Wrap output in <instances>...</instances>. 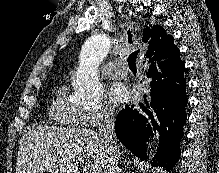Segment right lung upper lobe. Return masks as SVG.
<instances>
[{
	"label": "right lung upper lobe",
	"mask_w": 219,
	"mask_h": 173,
	"mask_svg": "<svg viewBox=\"0 0 219 173\" xmlns=\"http://www.w3.org/2000/svg\"><path fill=\"white\" fill-rule=\"evenodd\" d=\"M149 43L146 57L155 60L158 55L173 56L179 52L178 48L173 44L174 39L171 35H167L161 26L147 27L143 31V39Z\"/></svg>",
	"instance_id": "right-lung-upper-lobe-1"
}]
</instances>
